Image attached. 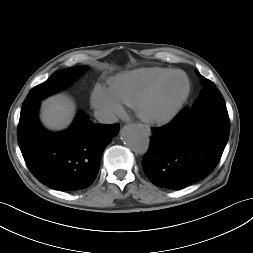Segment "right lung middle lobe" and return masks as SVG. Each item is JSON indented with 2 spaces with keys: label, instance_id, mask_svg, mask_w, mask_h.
<instances>
[{
  "label": "right lung middle lobe",
  "instance_id": "dd1d6c3e",
  "mask_svg": "<svg viewBox=\"0 0 253 253\" xmlns=\"http://www.w3.org/2000/svg\"><path fill=\"white\" fill-rule=\"evenodd\" d=\"M87 67L75 66L53 73L45 82L37 85L28 93L23 106L40 101L43 98L65 88L72 80L78 78Z\"/></svg>",
  "mask_w": 253,
  "mask_h": 253
}]
</instances>
